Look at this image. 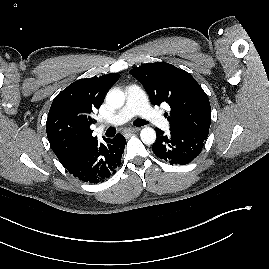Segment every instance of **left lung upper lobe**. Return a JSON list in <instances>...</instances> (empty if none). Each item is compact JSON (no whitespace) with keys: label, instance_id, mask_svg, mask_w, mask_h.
<instances>
[{"label":"left lung upper lobe","instance_id":"5c2ea615","mask_svg":"<svg viewBox=\"0 0 269 269\" xmlns=\"http://www.w3.org/2000/svg\"><path fill=\"white\" fill-rule=\"evenodd\" d=\"M142 83L154 105L168 103L165 116L170 130L209 131L211 107L208 96L186 71L169 63L144 64L129 71Z\"/></svg>","mask_w":269,"mask_h":269}]
</instances>
